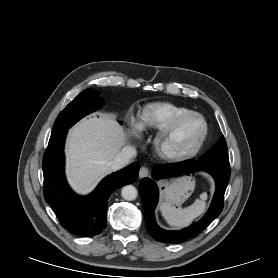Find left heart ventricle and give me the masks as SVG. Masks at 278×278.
I'll list each match as a JSON object with an SVG mask.
<instances>
[{"label":"left heart ventricle","instance_id":"left-heart-ventricle-1","mask_svg":"<svg viewBox=\"0 0 278 278\" xmlns=\"http://www.w3.org/2000/svg\"><path fill=\"white\" fill-rule=\"evenodd\" d=\"M203 130L201 120L198 118L188 119L177 131L173 138V145L177 149H186L194 145Z\"/></svg>","mask_w":278,"mask_h":278}]
</instances>
